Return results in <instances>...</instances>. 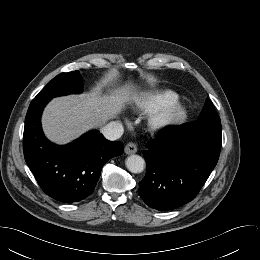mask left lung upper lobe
Returning a JSON list of instances; mask_svg holds the SVG:
<instances>
[{
  "instance_id": "1",
  "label": "left lung upper lobe",
  "mask_w": 260,
  "mask_h": 260,
  "mask_svg": "<svg viewBox=\"0 0 260 260\" xmlns=\"http://www.w3.org/2000/svg\"><path fill=\"white\" fill-rule=\"evenodd\" d=\"M184 126H187L188 129L192 131L211 133L221 136V121L209 99L206 100L200 119L197 122L187 123Z\"/></svg>"
}]
</instances>
